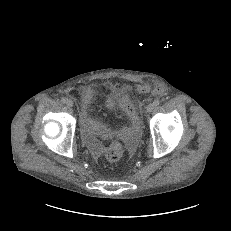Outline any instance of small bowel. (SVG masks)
Wrapping results in <instances>:
<instances>
[{
	"mask_svg": "<svg viewBox=\"0 0 231 231\" xmlns=\"http://www.w3.org/2000/svg\"><path fill=\"white\" fill-rule=\"evenodd\" d=\"M80 94L86 105L82 118L84 137L92 151L97 153L100 150V144L97 142L96 137L105 138L108 136L110 131L94 121L90 115L89 104L95 94V89L92 86H85L81 88ZM120 134L127 138L132 145L136 143L138 132H121Z\"/></svg>",
	"mask_w": 231,
	"mask_h": 231,
	"instance_id": "small-bowel-1",
	"label": "small bowel"
}]
</instances>
